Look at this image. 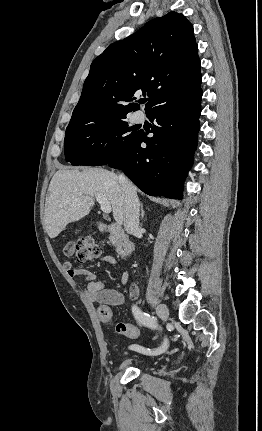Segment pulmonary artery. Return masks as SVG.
Segmentation results:
<instances>
[{"mask_svg": "<svg viewBox=\"0 0 262 431\" xmlns=\"http://www.w3.org/2000/svg\"><path fill=\"white\" fill-rule=\"evenodd\" d=\"M134 119H135V121L139 122V121H141L143 119V116L140 115V114H136L135 117H134Z\"/></svg>", "mask_w": 262, "mask_h": 431, "instance_id": "obj_1", "label": "pulmonary artery"}]
</instances>
